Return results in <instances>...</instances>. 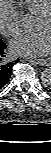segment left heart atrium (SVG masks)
Masks as SVG:
<instances>
[{"mask_svg":"<svg viewBox=\"0 0 51 153\" xmlns=\"http://www.w3.org/2000/svg\"><path fill=\"white\" fill-rule=\"evenodd\" d=\"M10 48L14 53L23 56H45L51 50L50 32L40 29L35 32L21 34L11 41Z\"/></svg>","mask_w":51,"mask_h":153,"instance_id":"1","label":"left heart atrium"}]
</instances>
